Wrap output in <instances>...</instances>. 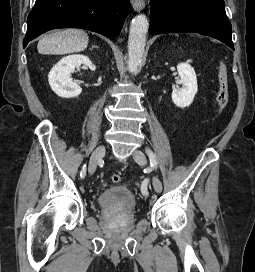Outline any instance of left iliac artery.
Instances as JSON below:
<instances>
[{"label":"left iliac artery","mask_w":255,"mask_h":272,"mask_svg":"<svg viewBox=\"0 0 255 272\" xmlns=\"http://www.w3.org/2000/svg\"><path fill=\"white\" fill-rule=\"evenodd\" d=\"M146 153L150 159V164L151 166L156 169L157 168V160H156V156L155 154L153 153V151L151 149H146ZM147 185H148V178H145L142 182V185H141V191H142V194L143 195H148V191H147Z\"/></svg>","instance_id":"44dca946"}]
</instances>
